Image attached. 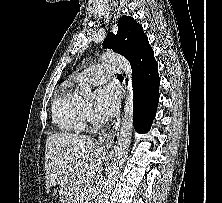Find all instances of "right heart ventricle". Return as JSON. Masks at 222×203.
I'll list each match as a JSON object with an SVG mask.
<instances>
[{
    "label": "right heart ventricle",
    "instance_id": "obj_1",
    "mask_svg": "<svg viewBox=\"0 0 222 203\" xmlns=\"http://www.w3.org/2000/svg\"><path fill=\"white\" fill-rule=\"evenodd\" d=\"M77 79L67 82L53 102L52 118L65 133H80L86 126V104L77 94Z\"/></svg>",
    "mask_w": 222,
    "mask_h": 203
}]
</instances>
